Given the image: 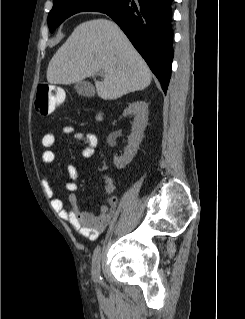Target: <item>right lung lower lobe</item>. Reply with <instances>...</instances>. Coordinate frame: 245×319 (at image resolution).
Wrapping results in <instances>:
<instances>
[{
	"label": "right lung lower lobe",
	"instance_id": "98d812e1",
	"mask_svg": "<svg viewBox=\"0 0 245 319\" xmlns=\"http://www.w3.org/2000/svg\"><path fill=\"white\" fill-rule=\"evenodd\" d=\"M172 0H132L106 12L124 31L167 91L173 59Z\"/></svg>",
	"mask_w": 245,
	"mask_h": 319
}]
</instances>
